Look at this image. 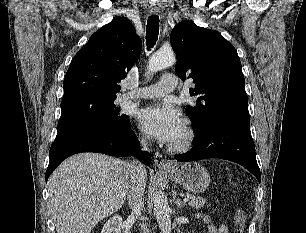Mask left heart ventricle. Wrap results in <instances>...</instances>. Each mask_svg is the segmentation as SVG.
Listing matches in <instances>:
<instances>
[{
	"label": "left heart ventricle",
	"instance_id": "obj_1",
	"mask_svg": "<svg viewBox=\"0 0 306 233\" xmlns=\"http://www.w3.org/2000/svg\"><path fill=\"white\" fill-rule=\"evenodd\" d=\"M183 135H184V128L182 129V131L179 134V136L173 141V143L178 142L179 140H181Z\"/></svg>",
	"mask_w": 306,
	"mask_h": 233
}]
</instances>
